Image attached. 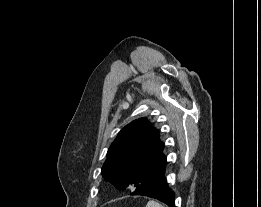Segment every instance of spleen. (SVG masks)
Segmentation results:
<instances>
[{
  "mask_svg": "<svg viewBox=\"0 0 261 207\" xmlns=\"http://www.w3.org/2000/svg\"><path fill=\"white\" fill-rule=\"evenodd\" d=\"M146 207H163V206L155 201H149Z\"/></svg>",
  "mask_w": 261,
  "mask_h": 207,
  "instance_id": "3e777b00",
  "label": "spleen"
}]
</instances>
